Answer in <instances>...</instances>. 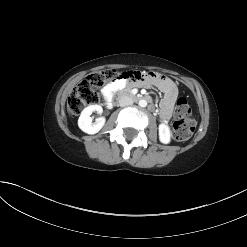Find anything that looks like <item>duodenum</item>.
I'll return each instance as SVG.
<instances>
[{"label":"duodenum","instance_id":"obj_1","mask_svg":"<svg viewBox=\"0 0 247 247\" xmlns=\"http://www.w3.org/2000/svg\"><path fill=\"white\" fill-rule=\"evenodd\" d=\"M132 96L134 100H146L148 102L151 101V97L147 95H132V91L120 89L118 91V94H114L113 97V105H118V100L120 99V96Z\"/></svg>","mask_w":247,"mask_h":247}]
</instances>
